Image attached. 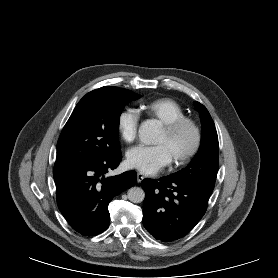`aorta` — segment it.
Listing matches in <instances>:
<instances>
[{
	"instance_id": "obj_1",
	"label": "aorta",
	"mask_w": 278,
	"mask_h": 278,
	"mask_svg": "<svg viewBox=\"0 0 278 278\" xmlns=\"http://www.w3.org/2000/svg\"><path fill=\"white\" fill-rule=\"evenodd\" d=\"M139 138L145 144H153L156 142L160 130L156 120H146L141 123L139 130ZM128 199L133 203H141L145 198V192L140 187H132L128 190Z\"/></svg>"
}]
</instances>
